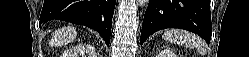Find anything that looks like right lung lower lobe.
<instances>
[{"label": "right lung lower lobe", "instance_id": "1", "mask_svg": "<svg viewBox=\"0 0 249 57\" xmlns=\"http://www.w3.org/2000/svg\"><path fill=\"white\" fill-rule=\"evenodd\" d=\"M116 0H44L39 26L50 20H63L88 26L110 43Z\"/></svg>", "mask_w": 249, "mask_h": 57}]
</instances>
